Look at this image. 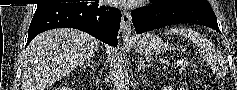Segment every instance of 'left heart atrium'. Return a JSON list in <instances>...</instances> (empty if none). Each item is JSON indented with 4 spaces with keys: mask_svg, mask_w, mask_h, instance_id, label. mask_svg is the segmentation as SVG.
<instances>
[{
    "mask_svg": "<svg viewBox=\"0 0 237 90\" xmlns=\"http://www.w3.org/2000/svg\"><path fill=\"white\" fill-rule=\"evenodd\" d=\"M113 7H139L140 3H146L147 0H113Z\"/></svg>",
    "mask_w": 237,
    "mask_h": 90,
    "instance_id": "1",
    "label": "left heart atrium"
}]
</instances>
